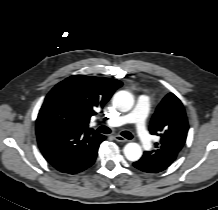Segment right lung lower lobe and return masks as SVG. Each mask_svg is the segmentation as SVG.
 <instances>
[{
	"instance_id": "right-lung-lower-lobe-1",
	"label": "right lung lower lobe",
	"mask_w": 218,
	"mask_h": 210,
	"mask_svg": "<svg viewBox=\"0 0 218 210\" xmlns=\"http://www.w3.org/2000/svg\"><path fill=\"white\" fill-rule=\"evenodd\" d=\"M36 135L44 158L56 170L67 174L89 168L105 139L91 129H67L56 125H36Z\"/></svg>"
}]
</instances>
